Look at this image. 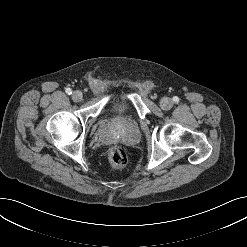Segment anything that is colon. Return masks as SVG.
I'll return each mask as SVG.
<instances>
[{
  "label": "colon",
  "instance_id": "1",
  "mask_svg": "<svg viewBox=\"0 0 247 247\" xmlns=\"http://www.w3.org/2000/svg\"><path fill=\"white\" fill-rule=\"evenodd\" d=\"M108 159L114 167L124 168L128 163V154L123 147L114 145L108 151Z\"/></svg>",
  "mask_w": 247,
  "mask_h": 247
}]
</instances>
